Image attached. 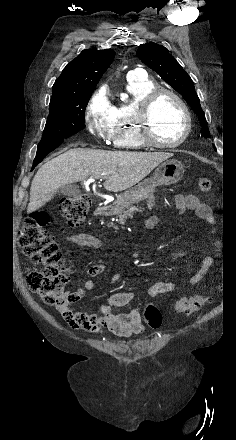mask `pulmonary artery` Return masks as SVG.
Segmentation results:
<instances>
[{"mask_svg":"<svg viewBox=\"0 0 236 440\" xmlns=\"http://www.w3.org/2000/svg\"><path fill=\"white\" fill-rule=\"evenodd\" d=\"M130 76H135V77H146L145 72L142 69H136L135 71L131 72Z\"/></svg>","mask_w":236,"mask_h":440,"instance_id":"1","label":"pulmonary artery"}]
</instances>
